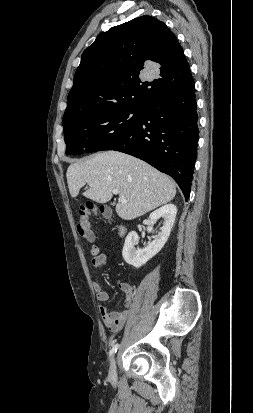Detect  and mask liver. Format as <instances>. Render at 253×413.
Here are the masks:
<instances>
[{"mask_svg": "<svg viewBox=\"0 0 253 413\" xmlns=\"http://www.w3.org/2000/svg\"><path fill=\"white\" fill-rule=\"evenodd\" d=\"M66 176L72 198L88 184L90 188L83 195L95 202L106 203L117 189L120 200L116 213L124 220L140 217L170 202L176 195L171 178L146 162L118 151L100 152L72 163Z\"/></svg>", "mask_w": 253, "mask_h": 413, "instance_id": "liver-1", "label": "liver"}]
</instances>
